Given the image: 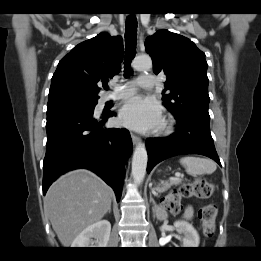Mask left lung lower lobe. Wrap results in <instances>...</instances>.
<instances>
[{
    "label": "left lung lower lobe",
    "mask_w": 261,
    "mask_h": 261,
    "mask_svg": "<svg viewBox=\"0 0 261 261\" xmlns=\"http://www.w3.org/2000/svg\"><path fill=\"white\" fill-rule=\"evenodd\" d=\"M177 119V132L164 138L147 139V172L159 162L176 155L200 154L220 160L210 133V120L198 116H181Z\"/></svg>",
    "instance_id": "1"
}]
</instances>
